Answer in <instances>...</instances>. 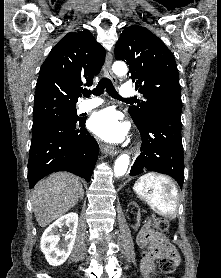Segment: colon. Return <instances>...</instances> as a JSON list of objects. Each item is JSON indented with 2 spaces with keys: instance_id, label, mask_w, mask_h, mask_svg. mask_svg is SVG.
<instances>
[{
  "instance_id": "colon-1",
  "label": "colon",
  "mask_w": 221,
  "mask_h": 278,
  "mask_svg": "<svg viewBox=\"0 0 221 278\" xmlns=\"http://www.w3.org/2000/svg\"><path fill=\"white\" fill-rule=\"evenodd\" d=\"M153 227L155 230L164 232L169 228L168 220L162 217H155L153 219ZM177 261L168 256L164 255L159 260L160 271L164 274H171L176 268Z\"/></svg>"
}]
</instances>
